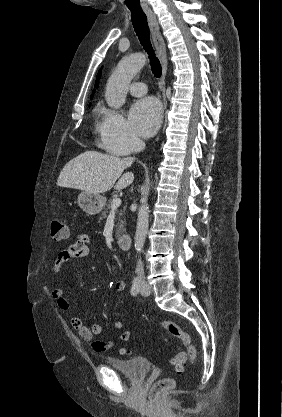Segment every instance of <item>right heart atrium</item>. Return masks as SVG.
<instances>
[{"label": "right heart atrium", "mask_w": 282, "mask_h": 417, "mask_svg": "<svg viewBox=\"0 0 282 417\" xmlns=\"http://www.w3.org/2000/svg\"><path fill=\"white\" fill-rule=\"evenodd\" d=\"M99 132L102 147L117 155H128L140 146V140L129 127L126 119L119 112H109Z\"/></svg>", "instance_id": "right-heart-atrium-1"}]
</instances>
